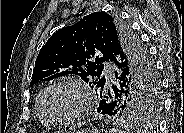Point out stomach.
Wrapping results in <instances>:
<instances>
[{"label": "stomach", "mask_w": 184, "mask_h": 133, "mask_svg": "<svg viewBox=\"0 0 184 133\" xmlns=\"http://www.w3.org/2000/svg\"><path fill=\"white\" fill-rule=\"evenodd\" d=\"M80 133H88L87 131H83V132H80Z\"/></svg>", "instance_id": "1"}]
</instances>
